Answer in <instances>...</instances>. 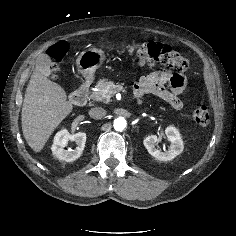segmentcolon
Masks as SVG:
<instances>
[{
	"label": "colon",
	"mask_w": 236,
	"mask_h": 236,
	"mask_svg": "<svg viewBox=\"0 0 236 236\" xmlns=\"http://www.w3.org/2000/svg\"><path fill=\"white\" fill-rule=\"evenodd\" d=\"M65 43H58L49 49V55L56 61H60L67 52ZM123 52L133 54L137 57L138 62L142 66H152L155 64H164L175 68L179 72H186L191 65L178 51L171 46L162 43H144L136 46H126ZM191 115L196 124L206 126L210 121V113L206 106H194Z\"/></svg>",
	"instance_id": "1"
}]
</instances>
